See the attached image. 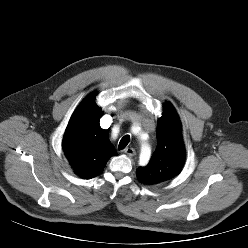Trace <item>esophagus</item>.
<instances>
[{
	"label": "esophagus",
	"mask_w": 248,
	"mask_h": 248,
	"mask_svg": "<svg viewBox=\"0 0 248 248\" xmlns=\"http://www.w3.org/2000/svg\"><path fill=\"white\" fill-rule=\"evenodd\" d=\"M124 153L127 154L128 156H134L135 150L131 147H128V148L124 149Z\"/></svg>",
	"instance_id": "esophagus-1"
}]
</instances>
